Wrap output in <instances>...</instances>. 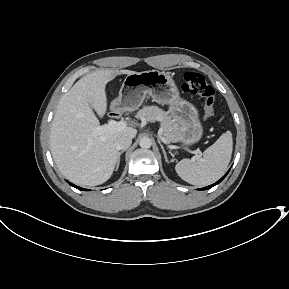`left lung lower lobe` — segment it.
Listing matches in <instances>:
<instances>
[{"label": "left lung lower lobe", "mask_w": 289, "mask_h": 289, "mask_svg": "<svg viewBox=\"0 0 289 289\" xmlns=\"http://www.w3.org/2000/svg\"><path fill=\"white\" fill-rule=\"evenodd\" d=\"M228 174V172L219 180V181H217L216 183H214L213 185H210V186H207V187H204V188H202V189H199V190H206V189H209V188H211V187H213V186H215L216 184H218V183H220L225 177H226V175Z\"/></svg>", "instance_id": "obj_1"}]
</instances>
